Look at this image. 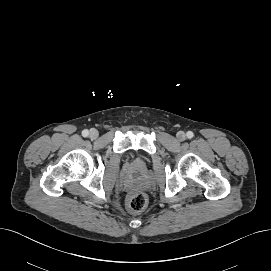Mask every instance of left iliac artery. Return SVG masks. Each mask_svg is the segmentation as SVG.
<instances>
[{
  "mask_svg": "<svg viewBox=\"0 0 271 271\" xmlns=\"http://www.w3.org/2000/svg\"><path fill=\"white\" fill-rule=\"evenodd\" d=\"M193 136H194V134H193L192 131H188V132H187V137H188L189 139L193 138Z\"/></svg>",
  "mask_w": 271,
  "mask_h": 271,
  "instance_id": "obj_1",
  "label": "left iliac artery"
}]
</instances>
